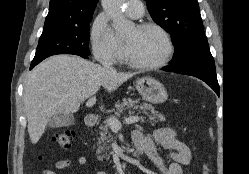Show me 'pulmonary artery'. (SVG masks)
Masks as SVG:
<instances>
[{
  "label": "pulmonary artery",
  "instance_id": "e3ab8cb5",
  "mask_svg": "<svg viewBox=\"0 0 249 174\" xmlns=\"http://www.w3.org/2000/svg\"><path fill=\"white\" fill-rule=\"evenodd\" d=\"M125 10L128 16L137 19L143 14L144 6L140 0H127L125 3Z\"/></svg>",
  "mask_w": 249,
  "mask_h": 174
}]
</instances>
